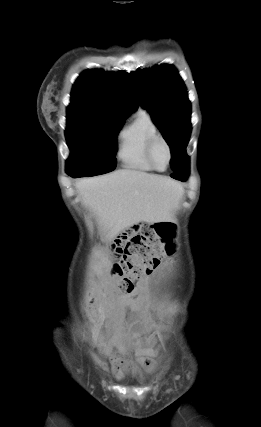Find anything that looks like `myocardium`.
<instances>
[{
    "mask_svg": "<svg viewBox=\"0 0 261 427\" xmlns=\"http://www.w3.org/2000/svg\"><path fill=\"white\" fill-rule=\"evenodd\" d=\"M158 143H162L166 147L168 152V162L164 169L158 168L154 160V152ZM146 156L150 165L153 167L155 171H158V172L166 171L169 168L173 158L171 146L167 141V139L161 134L154 135L153 137L150 138L147 144Z\"/></svg>",
    "mask_w": 261,
    "mask_h": 427,
    "instance_id": "myocardium-1",
    "label": "myocardium"
}]
</instances>
